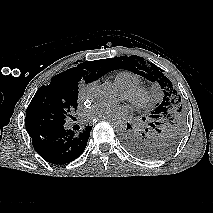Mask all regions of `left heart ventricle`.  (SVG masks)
<instances>
[{"label":"left heart ventricle","instance_id":"b2bd125f","mask_svg":"<svg viewBox=\"0 0 213 213\" xmlns=\"http://www.w3.org/2000/svg\"><path fill=\"white\" fill-rule=\"evenodd\" d=\"M122 97H125V94H124V92L122 91Z\"/></svg>","mask_w":213,"mask_h":213}]
</instances>
